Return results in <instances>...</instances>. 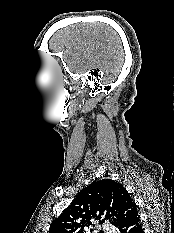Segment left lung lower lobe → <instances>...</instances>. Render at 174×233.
Returning <instances> with one entry per match:
<instances>
[{
	"label": "left lung lower lobe",
	"mask_w": 174,
	"mask_h": 233,
	"mask_svg": "<svg viewBox=\"0 0 174 233\" xmlns=\"http://www.w3.org/2000/svg\"><path fill=\"white\" fill-rule=\"evenodd\" d=\"M117 228L119 233H144L138 211Z\"/></svg>",
	"instance_id": "left-lung-lower-lobe-1"
}]
</instances>
